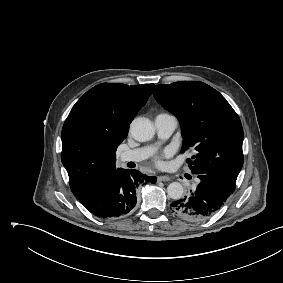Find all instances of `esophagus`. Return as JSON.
<instances>
[{"label": "esophagus", "mask_w": 283, "mask_h": 283, "mask_svg": "<svg viewBox=\"0 0 283 283\" xmlns=\"http://www.w3.org/2000/svg\"><path fill=\"white\" fill-rule=\"evenodd\" d=\"M158 181H164V182H167V181H170L171 178L169 176H166V175H161V176H158Z\"/></svg>", "instance_id": "1"}]
</instances>
